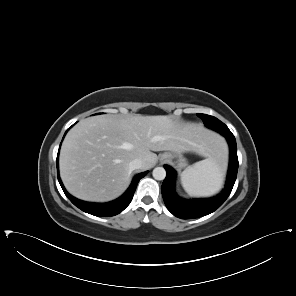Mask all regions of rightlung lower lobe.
Returning <instances> with one entry per match:
<instances>
[{"label":"right lung lower lobe","mask_w":296,"mask_h":296,"mask_svg":"<svg viewBox=\"0 0 296 296\" xmlns=\"http://www.w3.org/2000/svg\"><path fill=\"white\" fill-rule=\"evenodd\" d=\"M57 168H58V157H57ZM148 172H143L138 175H136L128 188V190L118 199L108 202V203H90V202H85L81 201L79 199H76L75 197L71 196L70 194L67 193L65 190L61 179L58 175V180L59 183L65 193V195L68 197V199L79 209L82 211L92 214L94 216L98 217H107V216H114L120 212H122L131 202L134 192L137 187V183L141 178H143Z\"/></svg>","instance_id":"1"}]
</instances>
